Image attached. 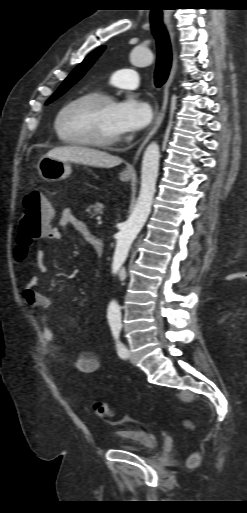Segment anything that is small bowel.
<instances>
[{"label":"small bowel","instance_id":"obj_1","mask_svg":"<svg viewBox=\"0 0 247 513\" xmlns=\"http://www.w3.org/2000/svg\"><path fill=\"white\" fill-rule=\"evenodd\" d=\"M61 228H71L80 232L86 239L90 234L89 228L85 222L77 218L70 208H64L59 216L58 227L52 226L50 230L42 236L43 240L56 241L62 239ZM36 266L39 274L47 272V266L44 261L42 250L36 252ZM40 277H30L22 292L23 302L29 307L39 312V320L42 323V332L45 339L46 355L60 362L68 364L82 373H93L100 368V360L97 355L90 350L80 351L77 356L70 360L65 357L59 347V338L56 332L49 324V310L51 308L50 298L38 290Z\"/></svg>","mask_w":247,"mask_h":513}]
</instances>
